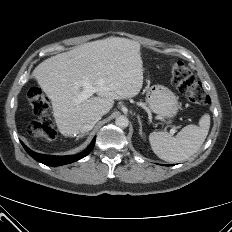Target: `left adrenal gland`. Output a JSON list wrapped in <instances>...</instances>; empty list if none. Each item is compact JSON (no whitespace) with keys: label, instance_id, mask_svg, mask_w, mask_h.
<instances>
[{"label":"left adrenal gland","instance_id":"obj_1","mask_svg":"<svg viewBox=\"0 0 232 232\" xmlns=\"http://www.w3.org/2000/svg\"><path fill=\"white\" fill-rule=\"evenodd\" d=\"M137 119H138V123H139V126H140L139 127V134H140L141 138L144 139V135H143V132H142V122H141L139 116H137Z\"/></svg>","mask_w":232,"mask_h":232}]
</instances>
